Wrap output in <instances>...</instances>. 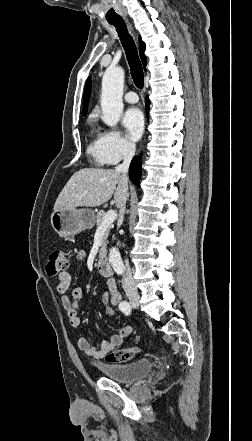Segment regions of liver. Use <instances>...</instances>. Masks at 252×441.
Instances as JSON below:
<instances>
[{"instance_id":"obj_1","label":"liver","mask_w":252,"mask_h":441,"mask_svg":"<svg viewBox=\"0 0 252 441\" xmlns=\"http://www.w3.org/2000/svg\"><path fill=\"white\" fill-rule=\"evenodd\" d=\"M113 194L117 207L128 195V182L123 180L120 173L114 169L83 168L66 183L56 199L54 209L100 206L110 200Z\"/></svg>"}]
</instances>
